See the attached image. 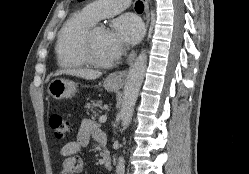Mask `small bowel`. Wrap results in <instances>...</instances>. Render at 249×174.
<instances>
[{
	"label": "small bowel",
	"mask_w": 249,
	"mask_h": 174,
	"mask_svg": "<svg viewBox=\"0 0 249 174\" xmlns=\"http://www.w3.org/2000/svg\"><path fill=\"white\" fill-rule=\"evenodd\" d=\"M91 138L102 143L105 140V136L97 124L92 120L84 119L81 122L76 139L63 145L60 150L63 163L59 174H77L82 172L83 161L79 156V152L89 144Z\"/></svg>",
	"instance_id": "c3829d8e"
}]
</instances>
